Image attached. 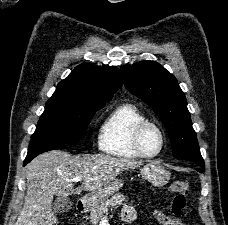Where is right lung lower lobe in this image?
Listing matches in <instances>:
<instances>
[{"label":"right lung lower lobe","mask_w":228,"mask_h":225,"mask_svg":"<svg viewBox=\"0 0 228 225\" xmlns=\"http://www.w3.org/2000/svg\"><path fill=\"white\" fill-rule=\"evenodd\" d=\"M57 148H67L66 144L63 143H56V144H46V145H41L32 149L28 150V154L27 157L24 161V165H26L28 162H30L34 157H36L37 155L46 152V151H50L53 149H57Z\"/></svg>","instance_id":"98d812e1"}]
</instances>
